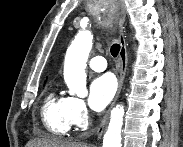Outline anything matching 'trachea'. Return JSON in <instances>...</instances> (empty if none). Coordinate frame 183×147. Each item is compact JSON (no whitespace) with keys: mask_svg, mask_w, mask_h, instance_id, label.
I'll return each instance as SVG.
<instances>
[{"mask_svg":"<svg viewBox=\"0 0 183 147\" xmlns=\"http://www.w3.org/2000/svg\"><path fill=\"white\" fill-rule=\"evenodd\" d=\"M111 55L113 57H117V55L119 54V51H120V45L118 43H114L112 46H111Z\"/></svg>","mask_w":183,"mask_h":147,"instance_id":"3493384b","label":"trachea"}]
</instances>
